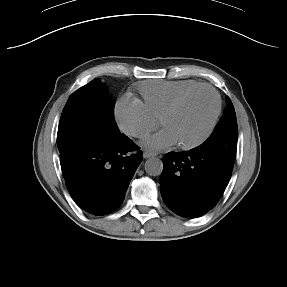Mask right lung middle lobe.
Masks as SVG:
<instances>
[{
    "mask_svg": "<svg viewBox=\"0 0 287 287\" xmlns=\"http://www.w3.org/2000/svg\"><path fill=\"white\" fill-rule=\"evenodd\" d=\"M120 134L114 120V101L99 79L76 90L68 99L58 127L61 158L76 149Z\"/></svg>",
    "mask_w": 287,
    "mask_h": 287,
    "instance_id": "right-lung-middle-lobe-1",
    "label": "right lung middle lobe"
}]
</instances>
